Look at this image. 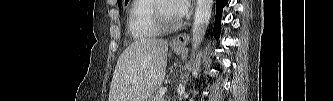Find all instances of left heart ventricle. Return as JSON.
I'll use <instances>...</instances> for the list:
<instances>
[{
	"instance_id": "1",
	"label": "left heart ventricle",
	"mask_w": 333,
	"mask_h": 101,
	"mask_svg": "<svg viewBox=\"0 0 333 101\" xmlns=\"http://www.w3.org/2000/svg\"><path fill=\"white\" fill-rule=\"evenodd\" d=\"M163 15L168 21H174L178 19L176 15H174L170 9V4L168 2L163 3Z\"/></svg>"
}]
</instances>
